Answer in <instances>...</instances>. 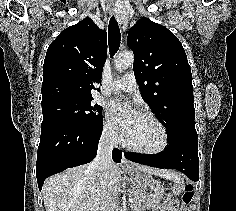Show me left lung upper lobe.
<instances>
[{"mask_svg": "<svg viewBox=\"0 0 236 211\" xmlns=\"http://www.w3.org/2000/svg\"><path fill=\"white\" fill-rule=\"evenodd\" d=\"M133 71L142 96L167 130L169 143L198 142L193 85L185 50L166 27L141 18L129 30Z\"/></svg>", "mask_w": 236, "mask_h": 211, "instance_id": "5c2ea615", "label": "left lung upper lobe"}]
</instances>
